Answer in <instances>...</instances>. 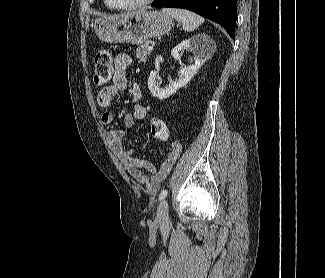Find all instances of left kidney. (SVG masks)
I'll return each instance as SVG.
<instances>
[{
	"mask_svg": "<svg viewBox=\"0 0 325 278\" xmlns=\"http://www.w3.org/2000/svg\"><path fill=\"white\" fill-rule=\"evenodd\" d=\"M202 37H192L182 41L171 51V55L175 60H178L180 53L190 51L193 54L191 65L180 69L179 78L171 81L165 88L159 87V75L156 71H152L148 78V88L153 97L158 99H166L174 94L179 88L186 85L198 72L201 66L205 63L207 52L202 44Z\"/></svg>",
	"mask_w": 325,
	"mask_h": 278,
	"instance_id": "5707ae66",
	"label": "left kidney"
}]
</instances>
